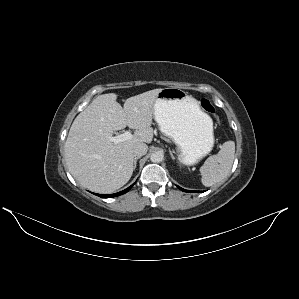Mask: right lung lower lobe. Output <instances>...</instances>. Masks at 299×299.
<instances>
[{
  "label": "right lung lower lobe",
  "instance_id": "obj_1",
  "mask_svg": "<svg viewBox=\"0 0 299 299\" xmlns=\"http://www.w3.org/2000/svg\"><path fill=\"white\" fill-rule=\"evenodd\" d=\"M133 185H134V184H133ZM133 185H131V186L128 187L127 189H125V190H123V191H121V192L115 193V194H108V195L96 194V195H98V196L101 197V198H112V197H116V196H119V195H122V194L128 192V191L131 189V187H132Z\"/></svg>",
  "mask_w": 299,
  "mask_h": 299
}]
</instances>
